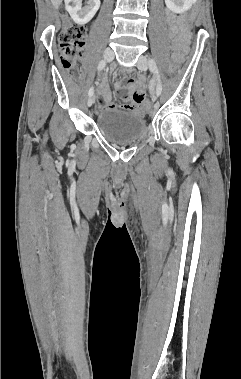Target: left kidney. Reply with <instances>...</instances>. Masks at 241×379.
Instances as JSON below:
<instances>
[{
	"instance_id": "left-kidney-1",
	"label": "left kidney",
	"mask_w": 241,
	"mask_h": 379,
	"mask_svg": "<svg viewBox=\"0 0 241 379\" xmlns=\"http://www.w3.org/2000/svg\"><path fill=\"white\" fill-rule=\"evenodd\" d=\"M197 0H165V4L169 10L174 13H184L188 11Z\"/></svg>"
}]
</instances>
